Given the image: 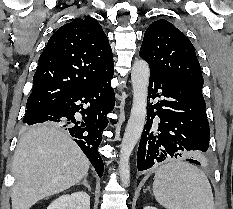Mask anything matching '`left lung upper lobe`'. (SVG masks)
<instances>
[{"mask_svg": "<svg viewBox=\"0 0 233 209\" xmlns=\"http://www.w3.org/2000/svg\"><path fill=\"white\" fill-rule=\"evenodd\" d=\"M139 56L151 71L184 82L203 96V77L195 49L172 23L154 21L144 34Z\"/></svg>", "mask_w": 233, "mask_h": 209, "instance_id": "1", "label": "left lung upper lobe"}]
</instances>
